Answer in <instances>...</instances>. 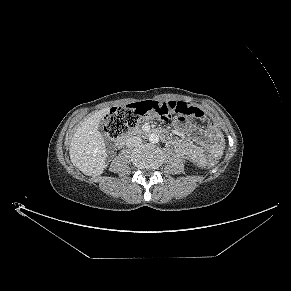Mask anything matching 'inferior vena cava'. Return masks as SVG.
I'll return each mask as SVG.
<instances>
[{
    "label": "inferior vena cava",
    "mask_w": 291,
    "mask_h": 291,
    "mask_svg": "<svg viewBox=\"0 0 291 291\" xmlns=\"http://www.w3.org/2000/svg\"><path fill=\"white\" fill-rule=\"evenodd\" d=\"M141 138L137 136H131L126 140V145L129 148L136 147L141 144Z\"/></svg>",
    "instance_id": "1"
}]
</instances>
